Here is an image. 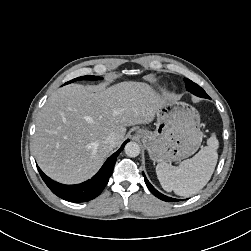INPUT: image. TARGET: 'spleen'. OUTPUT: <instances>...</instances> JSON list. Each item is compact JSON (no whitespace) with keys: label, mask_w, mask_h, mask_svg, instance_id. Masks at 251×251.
<instances>
[{"label":"spleen","mask_w":251,"mask_h":251,"mask_svg":"<svg viewBox=\"0 0 251 251\" xmlns=\"http://www.w3.org/2000/svg\"><path fill=\"white\" fill-rule=\"evenodd\" d=\"M218 146L219 142L215 134H212L207 140V146L194 157L182 161L179 166L159 163L156 166V174L162 188L185 197L199 192L214 172L218 159Z\"/></svg>","instance_id":"obj_1"}]
</instances>
